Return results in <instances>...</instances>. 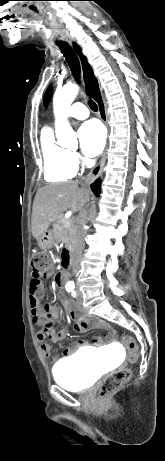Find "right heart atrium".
Returning a JSON list of instances; mask_svg holds the SVG:
<instances>
[{
    "instance_id": "1",
    "label": "right heart atrium",
    "mask_w": 165,
    "mask_h": 461,
    "mask_svg": "<svg viewBox=\"0 0 165 461\" xmlns=\"http://www.w3.org/2000/svg\"><path fill=\"white\" fill-rule=\"evenodd\" d=\"M71 157L75 165L80 163V156L77 153H71Z\"/></svg>"
}]
</instances>
